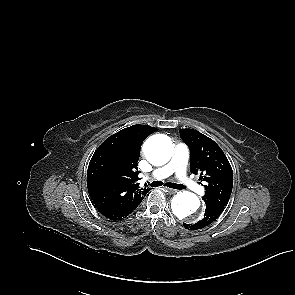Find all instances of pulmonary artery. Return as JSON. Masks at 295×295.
Listing matches in <instances>:
<instances>
[{
	"label": "pulmonary artery",
	"instance_id": "pulmonary-artery-1",
	"mask_svg": "<svg viewBox=\"0 0 295 295\" xmlns=\"http://www.w3.org/2000/svg\"><path fill=\"white\" fill-rule=\"evenodd\" d=\"M189 157V150L184 144H178L170 162L162 167L155 169L151 177L155 179H164L175 173L178 181L187 189L202 193L203 187L192 180L186 173V166Z\"/></svg>",
	"mask_w": 295,
	"mask_h": 295
}]
</instances>
